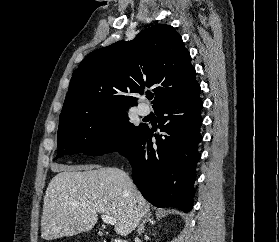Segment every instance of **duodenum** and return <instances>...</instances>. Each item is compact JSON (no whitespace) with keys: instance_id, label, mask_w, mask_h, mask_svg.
Returning a JSON list of instances; mask_svg holds the SVG:
<instances>
[{"instance_id":"obj_1","label":"duodenum","mask_w":279,"mask_h":242,"mask_svg":"<svg viewBox=\"0 0 279 242\" xmlns=\"http://www.w3.org/2000/svg\"><path fill=\"white\" fill-rule=\"evenodd\" d=\"M113 242H125V241L120 240V239H115Z\"/></svg>"}]
</instances>
